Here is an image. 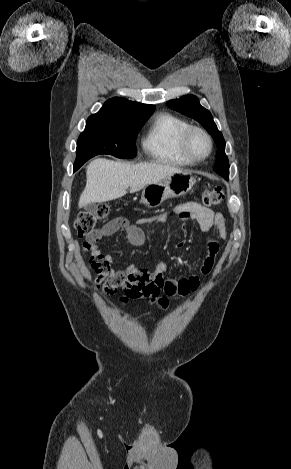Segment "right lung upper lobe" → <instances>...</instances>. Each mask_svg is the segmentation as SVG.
<instances>
[{"mask_svg":"<svg viewBox=\"0 0 291 469\" xmlns=\"http://www.w3.org/2000/svg\"><path fill=\"white\" fill-rule=\"evenodd\" d=\"M153 105L129 101L122 97L107 100L103 107L89 118H103L113 120L141 119L149 117L154 111Z\"/></svg>","mask_w":291,"mask_h":469,"instance_id":"1","label":"right lung upper lobe"}]
</instances>
